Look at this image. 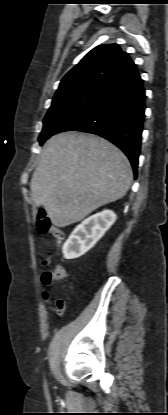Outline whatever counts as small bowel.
I'll return each mask as SVG.
<instances>
[{
	"instance_id": "small-bowel-1",
	"label": "small bowel",
	"mask_w": 168,
	"mask_h": 415,
	"mask_svg": "<svg viewBox=\"0 0 168 415\" xmlns=\"http://www.w3.org/2000/svg\"><path fill=\"white\" fill-rule=\"evenodd\" d=\"M44 298L48 299V293L47 292L44 293ZM56 309L59 313H62V311L64 309V303H63L62 300H57L56 301Z\"/></svg>"
}]
</instances>
